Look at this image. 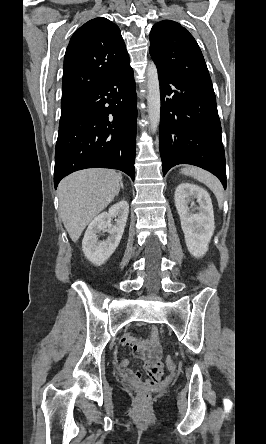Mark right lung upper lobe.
Instances as JSON below:
<instances>
[{"label": "right lung upper lobe", "instance_id": "right-lung-upper-lobe-1", "mask_svg": "<svg viewBox=\"0 0 266 444\" xmlns=\"http://www.w3.org/2000/svg\"><path fill=\"white\" fill-rule=\"evenodd\" d=\"M129 60L116 24L102 17L86 22L71 37L64 56L61 101L80 99Z\"/></svg>", "mask_w": 266, "mask_h": 444}]
</instances>
